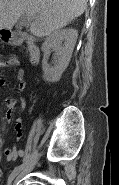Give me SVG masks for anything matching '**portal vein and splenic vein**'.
Wrapping results in <instances>:
<instances>
[{
    "label": "portal vein and splenic vein",
    "instance_id": "obj_1",
    "mask_svg": "<svg viewBox=\"0 0 119 185\" xmlns=\"http://www.w3.org/2000/svg\"><path fill=\"white\" fill-rule=\"evenodd\" d=\"M32 17H33V15H32V14H28V15H27V18H28L29 20H31V19H32Z\"/></svg>",
    "mask_w": 119,
    "mask_h": 185
}]
</instances>
